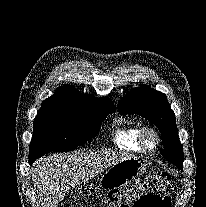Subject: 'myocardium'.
Listing matches in <instances>:
<instances>
[{
  "label": "myocardium",
  "instance_id": "f54148a6",
  "mask_svg": "<svg viewBox=\"0 0 206 207\" xmlns=\"http://www.w3.org/2000/svg\"><path fill=\"white\" fill-rule=\"evenodd\" d=\"M148 136H151L153 138L152 143L148 142ZM139 142L145 151H153L159 146L161 137L157 129L154 127L144 126L140 128L139 131Z\"/></svg>",
  "mask_w": 206,
  "mask_h": 207
}]
</instances>
